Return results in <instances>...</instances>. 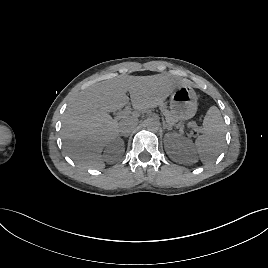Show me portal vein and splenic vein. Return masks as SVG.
<instances>
[{"label": "portal vein and splenic vein", "instance_id": "18ae733b", "mask_svg": "<svg viewBox=\"0 0 268 268\" xmlns=\"http://www.w3.org/2000/svg\"><path fill=\"white\" fill-rule=\"evenodd\" d=\"M129 113H130L129 110H124V111L121 112V115L124 116V115H127ZM194 127H196V126L194 125Z\"/></svg>", "mask_w": 268, "mask_h": 268}]
</instances>
